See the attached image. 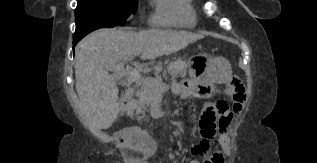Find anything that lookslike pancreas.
I'll return each instance as SVG.
<instances>
[{
    "mask_svg": "<svg viewBox=\"0 0 317 163\" xmlns=\"http://www.w3.org/2000/svg\"><path fill=\"white\" fill-rule=\"evenodd\" d=\"M153 66L154 68H156L158 65L153 64ZM167 70L168 73L173 77L185 76L187 71V64L181 58H177L173 62L169 63ZM145 79L155 80L157 79V77ZM156 93L157 91L153 86H150L148 84H141V88L136 93L138 99L133 101V103L127 109L128 114L130 116L135 115L138 120L144 118V113L153 102Z\"/></svg>",
    "mask_w": 317,
    "mask_h": 163,
    "instance_id": "1",
    "label": "pancreas"
}]
</instances>
